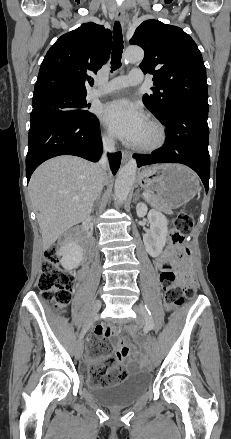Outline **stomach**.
Segmentation results:
<instances>
[{"label": "stomach", "mask_w": 231, "mask_h": 439, "mask_svg": "<svg viewBox=\"0 0 231 439\" xmlns=\"http://www.w3.org/2000/svg\"><path fill=\"white\" fill-rule=\"evenodd\" d=\"M139 184L157 193L163 210L183 206L200 190L196 173L178 164H161L145 168L139 174Z\"/></svg>", "instance_id": "0dacf381"}]
</instances>
